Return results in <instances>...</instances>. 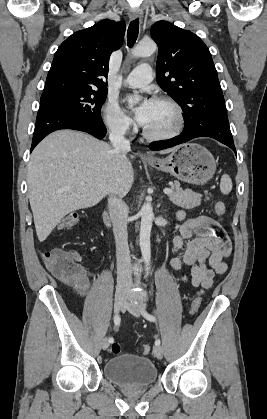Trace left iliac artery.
Masks as SVG:
<instances>
[{
	"instance_id": "obj_1",
	"label": "left iliac artery",
	"mask_w": 267,
	"mask_h": 419,
	"mask_svg": "<svg viewBox=\"0 0 267 419\" xmlns=\"http://www.w3.org/2000/svg\"><path fill=\"white\" fill-rule=\"evenodd\" d=\"M141 314L147 319V320H149V321H151V322H155L156 321V318L153 316V315H151V314H149L148 312H146V311H142L141 312ZM155 345H160V340L159 339H157L156 341H155Z\"/></svg>"
}]
</instances>
